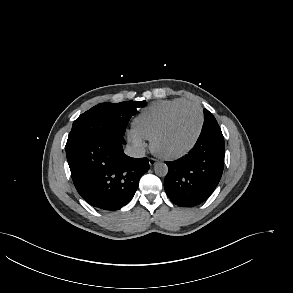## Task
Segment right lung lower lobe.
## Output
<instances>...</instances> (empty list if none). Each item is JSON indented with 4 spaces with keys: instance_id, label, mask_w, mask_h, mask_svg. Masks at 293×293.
<instances>
[{
    "instance_id": "98d812e1",
    "label": "right lung lower lobe",
    "mask_w": 293,
    "mask_h": 293,
    "mask_svg": "<svg viewBox=\"0 0 293 293\" xmlns=\"http://www.w3.org/2000/svg\"><path fill=\"white\" fill-rule=\"evenodd\" d=\"M123 135L104 133L66 151L72 180L80 196L102 210H118L134 196L147 158L124 154Z\"/></svg>"
}]
</instances>
